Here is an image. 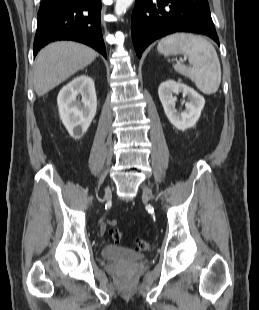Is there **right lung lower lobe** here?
I'll use <instances>...</instances> for the list:
<instances>
[{
  "mask_svg": "<svg viewBox=\"0 0 259 310\" xmlns=\"http://www.w3.org/2000/svg\"><path fill=\"white\" fill-rule=\"evenodd\" d=\"M101 0H43L37 18L33 53L57 40L87 44L106 58L101 30Z\"/></svg>",
  "mask_w": 259,
  "mask_h": 310,
  "instance_id": "98d812e1",
  "label": "right lung lower lobe"
}]
</instances>
